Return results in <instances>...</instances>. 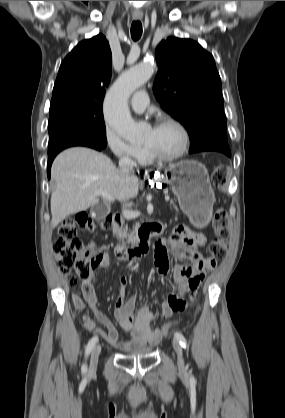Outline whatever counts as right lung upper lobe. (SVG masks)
<instances>
[{"label": "right lung upper lobe", "mask_w": 285, "mask_h": 418, "mask_svg": "<svg viewBox=\"0 0 285 418\" xmlns=\"http://www.w3.org/2000/svg\"><path fill=\"white\" fill-rule=\"evenodd\" d=\"M111 70L112 54L103 35L98 34L80 42L61 63L51 104L73 102L102 105Z\"/></svg>", "instance_id": "1"}]
</instances>
